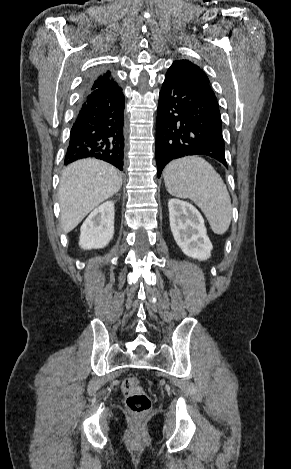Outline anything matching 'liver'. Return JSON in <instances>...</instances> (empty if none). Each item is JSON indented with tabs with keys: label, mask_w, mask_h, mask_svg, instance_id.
I'll list each match as a JSON object with an SVG mask.
<instances>
[{
	"label": "liver",
	"mask_w": 291,
	"mask_h": 469,
	"mask_svg": "<svg viewBox=\"0 0 291 469\" xmlns=\"http://www.w3.org/2000/svg\"><path fill=\"white\" fill-rule=\"evenodd\" d=\"M121 186L120 172L106 162L84 159L69 165L61 175L58 192L64 233L72 231Z\"/></svg>",
	"instance_id": "obj_1"
}]
</instances>
